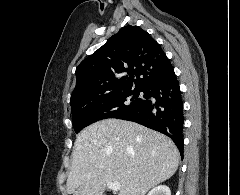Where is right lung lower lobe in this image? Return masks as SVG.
Here are the masks:
<instances>
[{
    "label": "right lung lower lobe",
    "instance_id": "98d812e1",
    "mask_svg": "<svg viewBox=\"0 0 240 195\" xmlns=\"http://www.w3.org/2000/svg\"><path fill=\"white\" fill-rule=\"evenodd\" d=\"M143 92L145 100L115 118L137 122L169 136L183 157V103L174 71Z\"/></svg>",
    "mask_w": 240,
    "mask_h": 195
}]
</instances>
